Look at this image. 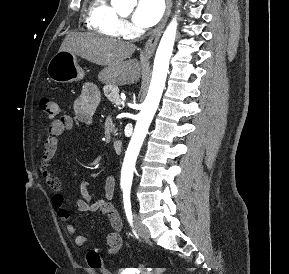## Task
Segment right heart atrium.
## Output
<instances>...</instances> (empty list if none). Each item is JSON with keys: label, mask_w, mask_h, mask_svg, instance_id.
Returning <instances> with one entry per match:
<instances>
[{"label": "right heart atrium", "mask_w": 289, "mask_h": 274, "mask_svg": "<svg viewBox=\"0 0 289 274\" xmlns=\"http://www.w3.org/2000/svg\"><path fill=\"white\" fill-rule=\"evenodd\" d=\"M123 29L125 31H130L131 30V27L127 24V23H123Z\"/></svg>", "instance_id": "1"}]
</instances>
